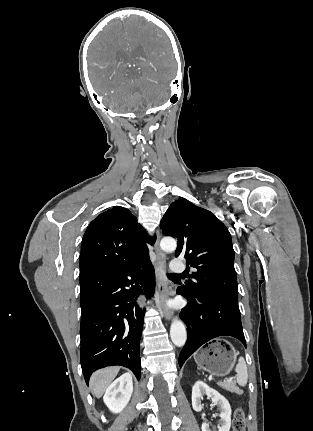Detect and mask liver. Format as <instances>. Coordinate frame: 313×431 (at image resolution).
Here are the masks:
<instances>
[{"label": "liver", "instance_id": "obj_1", "mask_svg": "<svg viewBox=\"0 0 313 431\" xmlns=\"http://www.w3.org/2000/svg\"><path fill=\"white\" fill-rule=\"evenodd\" d=\"M119 370V367H108L96 371L90 380L92 394L97 398H100L117 376Z\"/></svg>", "mask_w": 313, "mask_h": 431}]
</instances>
